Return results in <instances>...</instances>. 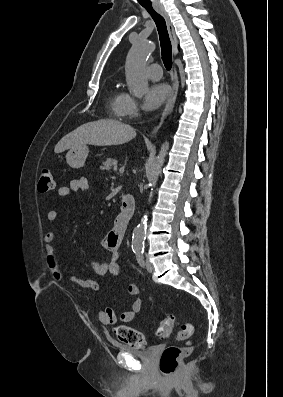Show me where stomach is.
Listing matches in <instances>:
<instances>
[{
	"label": "stomach",
	"instance_id": "0dacf381",
	"mask_svg": "<svg viewBox=\"0 0 283 397\" xmlns=\"http://www.w3.org/2000/svg\"><path fill=\"white\" fill-rule=\"evenodd\" d=\"M89 149L86 145L77 148H71L66 154V160L72 168H81L88 156Z\"/></svg>",
	"mask_w": 283,
	"mask_h": 397
}]
</instances>
